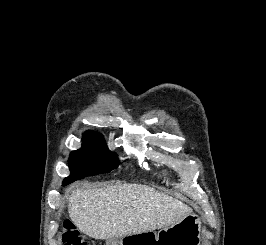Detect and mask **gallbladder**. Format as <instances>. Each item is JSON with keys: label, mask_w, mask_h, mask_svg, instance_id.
Segmentation results:
<instances>
[{"label": "gallbladder", "mask_w": 266, "mask_h": 245, "mask_svg": "<svg viewBox=\"0 0 266 245\" xmlns=\"http://www.w3.org/2000/svg\"><path fill=\"white\" fill-rule=\"evenodd\" d=\"M121 239H106V245H119Z\"/></svg>", "instance_id": "bac80fb5"}]
</instances>
